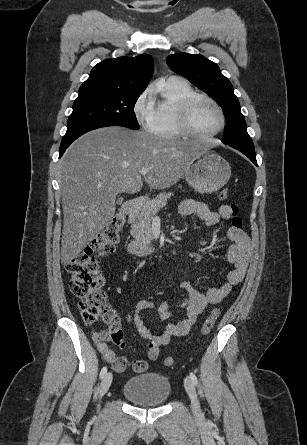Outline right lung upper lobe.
<instances>
[{"mask_svg":"<svg viewBox=\"0 0 307 445\" xmlns=\"http://www.w3.org/2000/svg\"><path fill=\"white\" fill-rule=\"evenodd\" d=\"M153 68V58L148 54L106 59L93 67L89 78L79 89V96L92 94L139 96L146 89Z\"/></svg>","mask_w":307,"mask_h":445,"instance_id":"cb5924a9","label":"right lung upper lobe"}]
</instances>
